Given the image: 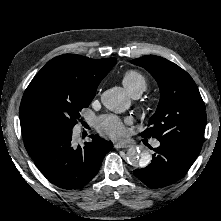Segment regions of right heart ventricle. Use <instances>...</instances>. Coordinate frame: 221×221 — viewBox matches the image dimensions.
<instances>
[{
	"label": "right heart ventricle",
	"instance_id": "obj_1",
	"mask_svg": "<svg viewBox=\"0 0 221 221\" xmlns=\"http://www.w3.org/2000/svg\"><path fill=\"white\" fill-rule=\"evenodd\" d=\"M123 85L131 94L134 91L143 92L147 87V80L142 73L136 70H129L122 78Z\"/></svg>",
	"mask_w": 221,
	"mask_h": 221
}]
</instances>
